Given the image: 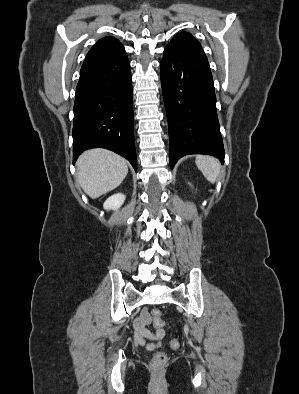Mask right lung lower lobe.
Here are the masks:
<instances>
[{"mask_svg":"<svg viewBox=\"0 0 299 394\" xmlns=\"http://www.w3.org/2000/svg\"><path fill=\"white\" fill-rule=\"evenodd\" d=\"M130 62L125 57L83 65L76 88L73 163L101 147L125 157L137 170Z\"/></svg>","mask_w":299,"mask_h":394,"instance_id":"98d812e1","label":"right lung lower lobe"}]
</instances>
